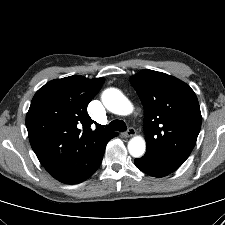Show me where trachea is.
I'll return each mask as SVG.
<instances>
[{
  "mask_svg": "<svg viewBox=\"0 0 225 225\" xmlns=\"http://www.w3.org/2000/svg\"><path fill=\"white\" fill-rule=\"evenodd\" d=\"M105 130L124 132L127 130V126L124 121L116 119L106 125Z\"/></svg>",
  "mask_w": 225,
  "mask_h": 225,
  "instance_id": "obj_1",
  "label": "trachea"
}]
</instances>
